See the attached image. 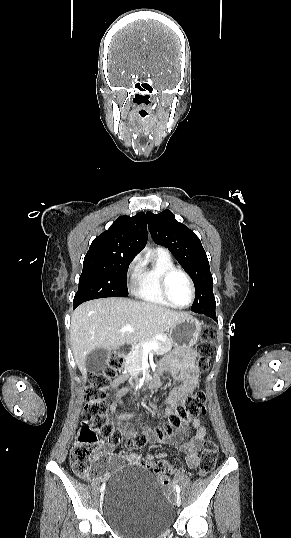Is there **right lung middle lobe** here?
Instances as JSON below:
<instances>
[{"label": "right lung middle lobe", "mask_w": 291, "mask_h": 538, "mask_svg": "<svg viewBox=\"0 0 291 538\" xmlns=\"http://www.w3.org/2000/svg\"><path fill=\"white\" fill-rule=\"evenodd\" d=\"M134 256L87 253L73 305L104 297H127V270Z\"/></svg>", "instance_id": "right-lung-middle-lobe-1"}]
</instances>
